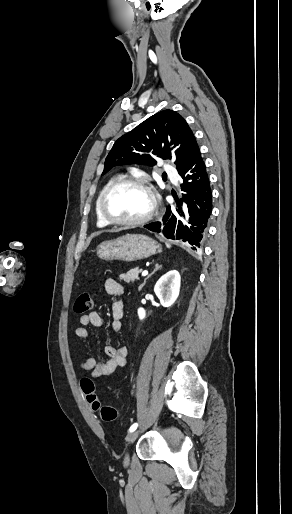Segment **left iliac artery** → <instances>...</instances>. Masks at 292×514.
<instances>
[{"instance_id":"44dca946","label":"left iliac artery","mask_w":292,"mask_h":514,"mask_svg":"<svg viewBox=\"0 0 292 514\" xmlns=\"http://www.w3.org/2000/svg\"><path fill=\"white\" fill-rule=\"evenodd\" d=\"M137 427H138V424H137V423L132 424V425L130 426V428H129V432L131 433V432L135 431V430L137 429Z\"/></svg>"}]
</instances>
